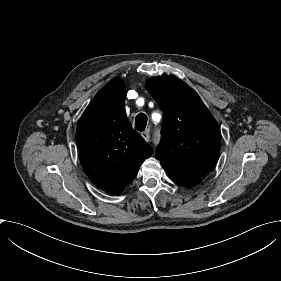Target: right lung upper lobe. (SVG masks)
Returning <instances> with one entry per match:
<instances>
[{"label":"right lung upper lobe","instance_id":"cb5924a9","mask_svg":"<svg viewBox=\"0 0 281 281\" xmlns=\"http://www.w3.org/2000/svg\"><path fill=\"white\" fill-rule=\"evenodd\" d=\"M76 142L83 170L108 194L121 193L152 148L132 128L125 112V84L112 79L82 114Z\"/></svg>","mask_w":281,"mask_h":281}]
</instances>
